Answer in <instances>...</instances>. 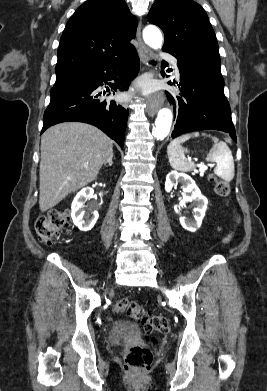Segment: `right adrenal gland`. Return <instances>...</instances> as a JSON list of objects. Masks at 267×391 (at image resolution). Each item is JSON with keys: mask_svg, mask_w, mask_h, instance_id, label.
<instances>
[{"mask_svg": "<svg viewBox=\"0 0 267 391\" xmlns=\"http://www.w3.org/2000/svg\"><path fill=\"white\" fill-rule=\"evenodd\" d=\"M113 157V156H112ZM112 163H113V161H112V158L108 161V162H105L104 163V166H106L107 164L109 165V166H112Z\"/></svg>", "mask_w": 267, "mask_h": 391, "instance_id": "1", "label": "right adrenal gland"}]
</instances>
